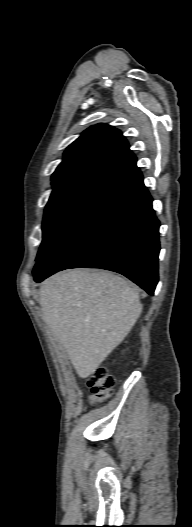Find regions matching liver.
Here are the masks:
<instances>
[{
    "label": "liver",
    "instance_id": "liver-1",
    "mask_svg": "<svg viewBox=\"0 0 192 527\" xmlns=\"http://www.w3.org/2000/svg\"><path fill=\"white\" fill-rule=\"evenodd\" d=\"M43 320L79 377H89L123 341L142 312L138 289L107 271L68 270L45 280Z\"/></svg>",
    "mask_w": 192,
    "mask_h": 527
}]
</instances>
